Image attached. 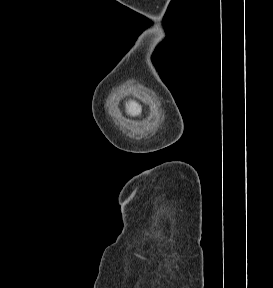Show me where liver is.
Instances as JSON below:
<instances>
[{"label":"liver","instance_id":"6515ba94","mask_svg":"<svg viewBox=\"0 0 273 288\" xmlns=\"http://www.w3.org/2000/svg\"><path fill=\"white\" fill-rule=\"evenodd\" d=\"M142 112V107L136 101L126 102V113L132 117L139 116Z\"/></svg>","mask_w":273,"mask_h":288}]
</instances>
